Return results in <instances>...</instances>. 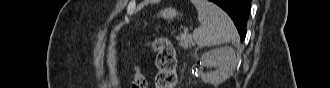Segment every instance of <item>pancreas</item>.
<instances>
[{
	"mask_svg": "<svg viewBox=\"0 0 330 88\" xmlns=\"http://www.w3.org/2000/svg\"><path fill=\"white\" fill-rule=\"evenodd\" d=\"M177 39L179 40L180 47H182L184 49H188L193 46L192 37L188 33H185V32L180 33V35L177 37Z\"/></svg>",
	"mask_w": 330,
	"mask_h": 88,
	"instance_id": "cf45deb5",
	"label": "pancreas"
}]
</instances>
